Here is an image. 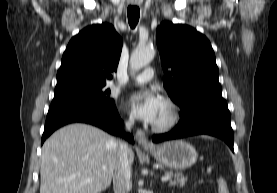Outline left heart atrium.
<instances>
[{"mask_svg":"<svg viewBox=\"0 0 277 193\" xmlns=\"http://www.w3.org/2000/svg\"><path fill=\"white\" fill-rule=\"evenodd\" d=\"M162 104V98L154 92H138L128 99L132 113L140 120L148 123L156 121Z\"/></svg>","mask_w":277,"mask_h":193,"instance_id":"obj_1","label":"left heart atrium"}]
</instances>
